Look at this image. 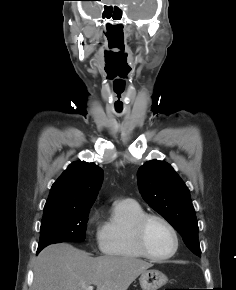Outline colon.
<instances>
[{
	"mask_svg": "<svg viewBox=\"0 0 236 290\" xmlns=\"http://www.w3.org/2000/svg\"><path fill=\"white\" fill-rule=\"evenodd\" d=\"M164 290H177V289H169V288H166V289H164Z\"/></svg>",
	"mask_w": 236,
	"mask_h": 290,
	"instance_id": "1",
	"label": "colon"
}]
</instances>
